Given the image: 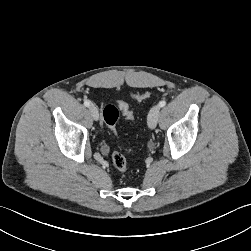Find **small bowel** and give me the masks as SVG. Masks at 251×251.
<instances>
[{"mask_svg": "<svg viewBox=\"0 0 251 251\" xmlns=\"http://www.w3.org/2000/svg\"><path fill=\"white\" fill-rule=\"evenodd\" d=\"M102 152H103L104 154H107V153H108V148H107L106 146H104V147L102 148Z\"/></svg>", "mask_w": 251, "mask_h": 251, "instance_id": "obj_1", "label": "small bowel"}]
</instances>
